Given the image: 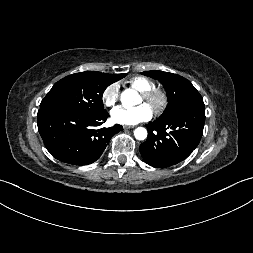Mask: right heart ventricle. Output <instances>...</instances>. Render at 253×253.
<instances>
[{"instance_id": "right-heart-ventricle-1", "label": "right heart ventricle", "mask_w": 253, "mask_h": 253, "mask_svg": "<svg viewBox=\"0 0 253 253\" xmlns=\"http://www.w3.org/2000/svg\"><path fill=\"white\" fill-rule=\"evenodd\" d=\"M128 83L139 92L147 91L155 86L151 79L144 76H135L131 78Z\"/></svg>"}]
</instances>
